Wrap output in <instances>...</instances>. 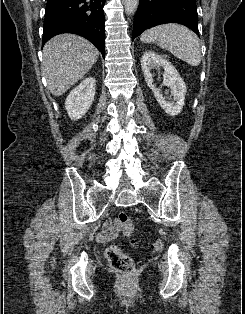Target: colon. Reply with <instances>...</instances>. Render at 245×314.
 <instances>
[{"label": "colon", "instance_id": "5ec220e1", "mask_svg": "<svg viewBox=\"0 0 245 314\" xmlns=\"http://www.w3.org/2000/svg\"><path fill=\"white\" fill-rule=\"evenodd\" d=\"M116 222L118 226L121 228L123 234L127 238H131L134 233V226L129 215L125 212H120L116 216ZM131 243L135 244L136 241L131 239ZM162 242L156 241L152 244L151 250L154 253L161 251ZM106 257L111 265V267L123 274L130 275L134 271V263L133 260L123 252L122 248L118 245H111L107 248Z\"/></svg>", "mask_w": 245, "mask_h": 314}]
</instances>
